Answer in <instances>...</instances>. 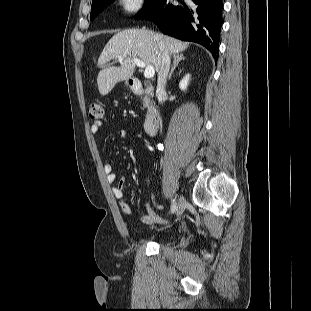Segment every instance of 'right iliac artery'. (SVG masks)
Instances as JSON below:
<instances>
[{"label":"right iliac artery","mask_w":311,"mask_h":311,"mask_svg":"<svg viewBox=\"0 0 311 311\" xmlns=\"http://www.w3.org/2000/svg\"><path fill=\"white\" fill-rule=\"evenodd\" d=\"M158 148L161 150L162 149V146H158ZM176 202H175V199L172 200V204H171V212H175L176 211Z\"/></svg>","instance_id":"right-iliac-artery-1"}]
</instances>
